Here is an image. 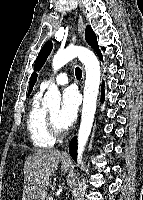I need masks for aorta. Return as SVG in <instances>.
Returning a JSON list of instances; mask_svg holds the SVG:
<instances>
[{
    "label": "aorta",
    "mask_w": 143,
    "mask_h": 200,
    "mask_svg": "<svg viewBox=\"0 0 143 200\" xmlns=\"http://www.w3.org/2000/svg\"><path fill=\"white\" fill-rule=\"evenodd\" d=\"M75 57H78L84 64L86 71L82 116L78 131L77 161L79 163L93 125L101 71L99 60L91 50L85 47L73 45L58 51L54 55L52 61L53 70L56 72ZM44 99L48 107L60 105L61 96L56 84L52 83L49 86Z\"/></svg>",
    "instance_id": "762f6f07"
}]
</instances>
